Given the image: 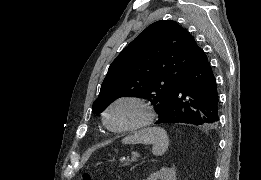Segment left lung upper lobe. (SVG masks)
Wrapping results in <instances>:
<instances>
[{
	"label": "left lung upper lobe",
	"instance_id": "1",
	"mask_svg": "<svg viewBox=\"0 0 261 180\" xmlns=\"http://www.w3.org/2000/svg\"><path fill=\"white\" fill-rule=\"evenodd\" d=\"M198 47L175 21L149 25L110 65L92 111L99 114L115 99L127 96L149 100L161 115Z\"/></svg>",
	"mask_w": 261,
	"mask_h": 180
}]
</instances>
